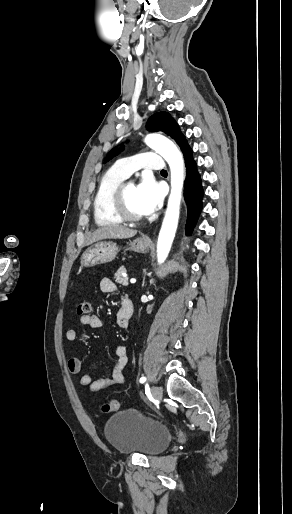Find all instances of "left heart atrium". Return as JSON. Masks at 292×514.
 <instances>
[{
  "label": "left heart atrium",
  "instance_id": "obj_1",
  "mask_svg": "<svg viewBox=\"0 0 292 514\" xmlns=\"http://www.w3.org/2000/svg\"><path fill=\"white\" fill-rule=\"evenodd\" d=\"M136 194L144 213H152L161 205L163 193L159 183L150 173L142 175Z\"/></svg>",
  "mask_w": 292,
  "mask_h": 514
}]
</instances>
